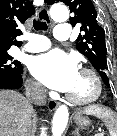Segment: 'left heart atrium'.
<instances>
[{
  "label": "left heart atrium",
  "mask_w": 117,
  "mask_h": 136,
  "mask_svg": "<svg viewBox=\"0 0 117 136\" xmlns=\"http://www.w3.org/2000/svg\"><path fill=\"white\" fill-rule=\"evenodd\" d=\"M30 71L46 87L68 93L79 74L76 60L58 49L32 58Z\"/></svg>",
  "instance_id": "obj_1"
}]
</instances>
